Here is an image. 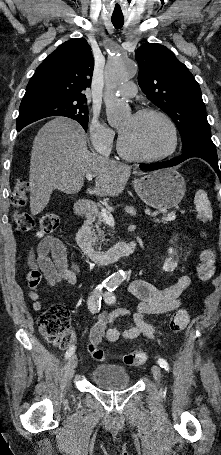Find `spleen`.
Wrapping results in <instances>:
<instances>
[{"label": "spleen", "instance_id": "3e777b00", "mask_svg": "<svg viewBox=\"0 0 221 455\" xmlns=\"http://www.w3.org/2000/svg\"><path fill=\"white\" fill-rule=\"evenodd\" d=\"M194 204L198 212L197 218L208 219L213 218L211 203L208 199L207 193L204 190H198L194 197Z\"/></svg>", "mask_w": 221, "mask_h": 455}]
</instances>
